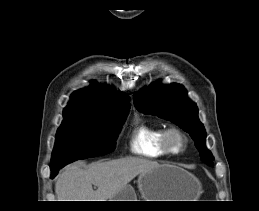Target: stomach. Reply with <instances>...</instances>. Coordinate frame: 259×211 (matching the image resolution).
<instances>
[{
  "label": "stomach",
  "mask_w": 259,
  "mask_h": 211,
  "mask_svg": "<svg viewBox=\"0 0 259 211\" xmlns=\"http://www.w3.org/2000/svg\"><path fill=\"white\" fill-rule=\"evenodd\" d=\"M138 188L145 201H191L198 194L199 184L179 167L160 165L139 175ZM109 201H137V196L134 188L126 185Z\"/></svg>",
  "instance_id": "stomach-1"
}]
</instances>
